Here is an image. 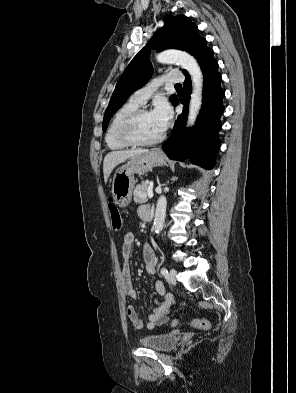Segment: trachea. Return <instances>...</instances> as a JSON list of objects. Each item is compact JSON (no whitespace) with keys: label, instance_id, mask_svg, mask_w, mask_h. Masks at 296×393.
I'll list each match as a JSON object with an SVG mask.
<instances>
[{"label":"trachea","instance_id":"1","mask_svg":"<svg viewBox=\"0 0 296 393\" xmlns=\"http://www.w3.org/2000/svg\"><path fill=\"white\" fill-rule=\"evenodd\" d=\"M175 86H176V87H181V85H180V84H176Z\"/></svg>","mask_w":296,"mask_h":393}]
</instances>
